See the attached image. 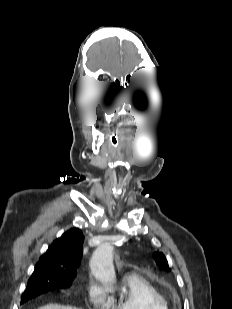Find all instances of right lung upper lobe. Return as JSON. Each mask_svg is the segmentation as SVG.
Masks as SVG:
<instances>
[{
	"mask_svg": "<svg viewBox=\"0 0 232 309\" xmlns=\"http://www.w3.org/2000/svg\"><path fill=\"white\" fill-rule=\"evenodd\" d=\"M83 234L72 228L56 239L40 257L31 277L43 274L73 281L82 257Z\"/></svg>",
	"mask_w": 232,
	"mask_h": 309,
	"instance_id": "right-lung-upper-lobe-1",
	"label": "right lung upper lobe"
}]
</instances>
